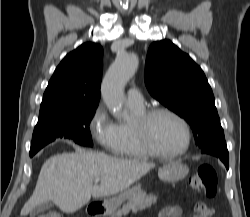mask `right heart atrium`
Masks as SVG:
<instances>
[{
    "label": "right heart atrium",
    "instance_id": "obj_1",
    "mask_svg": "<svg viewBox=\"0 0 250 217\" xmlns=\"http://www.w3.org/2000/svg\"><path fill=\"white\" fill-rule=\"evenodd\" d=\"M88 130L96 143L107 151H115L117 144V124L111 119L104 105L99 104L93 111Z\"/></svg>",
    "mask_w": 250,
    "mask_h": 217
}]
</instances>
